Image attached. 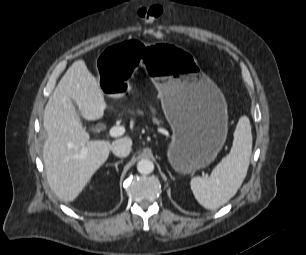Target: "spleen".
<instances>
[{
  "label": "spleen",
  "instance_id": "obj_1",
  "mask_svg": "<svg viewBox=\"0 0 306 255\" xmlns=\"http://www.w3.org/2000/svg\"><path fill=\"white\" fill-rule=\"evenodd\" d=\"M252 133L249 118L241 116L230 153L213 169L209 177H194L190 185L196 200L214 210L227 203L242 185L249 167Z\"/></svg>",
  "mask_w": 306,
  "mask_h": 255
}]
</instances>
